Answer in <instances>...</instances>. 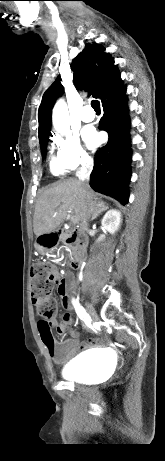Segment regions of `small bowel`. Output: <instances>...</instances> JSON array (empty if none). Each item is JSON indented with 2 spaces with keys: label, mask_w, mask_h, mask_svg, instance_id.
I'll return each instance as SVG.
<instances>
[{
  "label": "small bowel",
  "mask_w": 165,
  "mask_h": 461,
  "mask_svg": "<svg viewBox=\"0 0 165 461\" xmlns=\"http://www.w3.org/2000/svg\"><path fill=\"white\" fill-rule=\"evenodd\" d=\"M58 298L62 299V305L65 309H70L72 304L69 299L70 293L67 289V278L58 277ZM49 324L55 328L60 335L69 334L70 338L65 341H55L54 347H48L42 340L48 354L55 362H61L73 357L77 352L96 346L98 340L90 338L84 342L79 341L78 333L71 328L73 317L69 312L64 313L62 321L57 317L49 319ZM40 329V327H39ZM41 333V332H40ZM42 339V338H41Z\"/></svg>",
  "instance_id": "obj_1"
}]
</instances>
